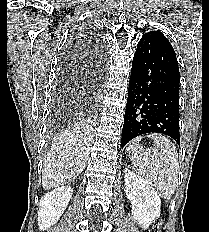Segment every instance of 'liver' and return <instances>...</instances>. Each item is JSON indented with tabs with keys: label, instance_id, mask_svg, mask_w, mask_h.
Here are the masks:
<instances>
[{
	"label": "liver",
	"instance_id": "6515ba94",
	"mask_svg": "<svg viewBox=\"0 0 209 232\" xmlns=\"http://www.w3.org/2000/svg\"><path fill=\"white\" fill-rule=\"evenodd\" d=\"M85 127L61 133L43 159L42 186L52 189L74 180L85 168L90 153Z\"/></svg>",
	"mask_w": 209,
	"mask_h": 232
}]
</instances>
